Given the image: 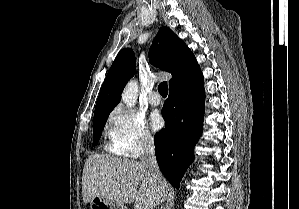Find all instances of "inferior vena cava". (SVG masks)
<instances>
[{"mask_svg": "<svg viewBox=\"0 0 299 209\" xmlns=\"http://www.w3.org/2000/svg\"><path fill=\"white\" fill-rule=\"evenodd\" d=\"M141 147L140 160L142 165L148 170L153 179L160 183L163 177L155 157V146L153 140L150 137L144 138Z\"/></svg>", "mask_w": 299, "mask_h": 209, "instance_id": "1", "label": "inferior vena cava"}]
</instances>
